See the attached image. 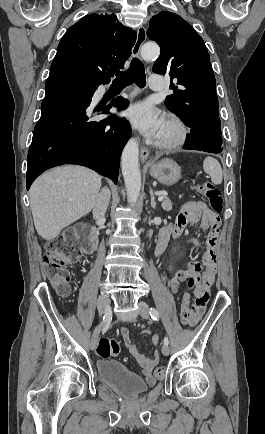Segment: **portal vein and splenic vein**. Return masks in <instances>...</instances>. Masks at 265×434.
<instances>
[{
  "label": "portal vein and splenic vein",
  "instance_id": "18ae733b",
  "mask_svg": "<svg viewBox=\"0 0 265 434\" xmlns=\"http://www.w3.org/2000/svg\"><path fill=\"white\" fill-rule=\"evenodd\" d=\"M158 200L159 202H162V200H164L163 196H159Z\"/></svg>",
  "mask_w": 265,
  "mask_h": 434
}]
</instances>
